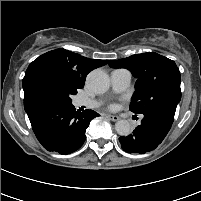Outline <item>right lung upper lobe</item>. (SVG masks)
Returning a JSON list of instances; mask_svg holds the SVG:
<instances>
[{
	"label": "right lung upper lobe",
	"mask_w": 201,
	"mask_h": 201,
	"mask_svg": "<svg viewBox=\"0 0 201 201\" xmlns=\"http://www.w3.org/2000/svg\"><path fill=\"white\" fill-rule=\"evenodd\" d=\"M106 64L104 60H93L65 49L49 51L33 62L27 68L23 78L24 99L36 94L34 83L38 76L50 72L71 86L83 88L86 75L93 69Z\"/></svg>",
	"instance_id": "right-lung-upper-lobe-1"
}]
</instances>
